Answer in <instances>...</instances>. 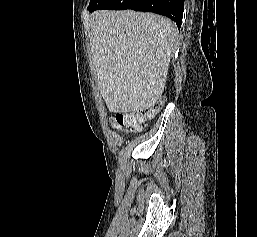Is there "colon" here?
<instances>
[{"mask_svg":"<svg viewBox=\"0 0 257 237\" xmlns=\"http://www.w3.org/2000/svg\"><path fill=\"white\" fill-rule=\"evenodd\" d=\"M161 104L157 103L152 107L143 108L136 112L125 113L119 112L112 118L111 122L117 129L136 131L140 125L152 119L159 111Z\"/></svg>","mask_w":257,"mask_h":237,"instance_id":"obj_1","label":"colon"}]
</instances>
